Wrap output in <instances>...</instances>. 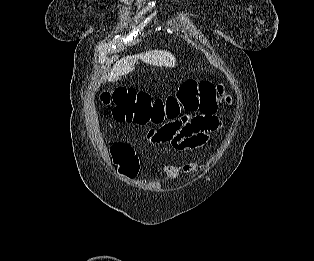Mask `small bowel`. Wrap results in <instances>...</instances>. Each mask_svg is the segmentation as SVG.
I'll return each mask as SVG.
<instances>
[{"instance_id": "1", "label": "small bowel", "mask_w": 314, "mask_h": 261, "mask_svg": "<svg viewBox=\"0 0 314 261\" xmlns=\"http://www.w3.org/2000/svg\"><path fill=\"white\" fill-rule=\"evenodd\" d=\"M221 127L222 120L216 114V109L210 112L193 109V113H182L181 116H175V120H164L158 129L145 133V140L153 141L158 148L187 151L202 147L207 143L209 135ZM199 169L200 166L195 163L164 166V172L172 180L180 174H192Z\"/></svg>"}]
</instances>
